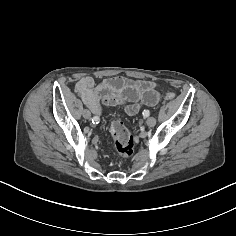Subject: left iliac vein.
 Segmentation results:
<instances>
[{
	"label": "left iliac vein",
	"mask_w": 236,
	"mask_h": 236,
	"mask_svg": "<svg viewBox=\"0 0 236 236\" xmlns=\"http://www.w3.org/2000/svg\"><path fill=\"white\" fill-rule=\"evenodd\" d=\"M146 124L149 126V127H153L155 126L156 124V119L154 117H149L147 120H146Z\"/></svg>",
	"instance_id": "1"
}]
</instances>
